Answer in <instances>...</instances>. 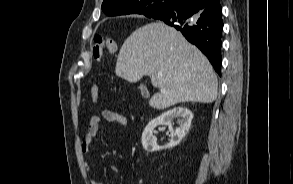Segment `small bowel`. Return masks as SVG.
<instances>
[{
  "label": "small bowel",
  "mask_w": 293,
  "mask_h": 184,
  "mask_svg": "<svg viewBox=\"0 0 293 184\" xmlns=\"http://www.w3.org/2000/svg\"><path fill=\"white\" fill-rule=\"evenodd\" d=\"M101 121H106L109 123H117L121 126L127 124V118L116 111L105 109L101 112V115H94L88 121V128L85 133L84 139L81 143V151L84 156H87L90 152L91 146L99 132ZM85 167L89 169L91 164L88 160L85 161ZM110 171L114 174L119 172V168L116 165L110 167ZM91 184H104L101 180L96 178L90 179Z\"/></svg>",
  "instance_id": "small-bowel-1"
}]
</instances>
